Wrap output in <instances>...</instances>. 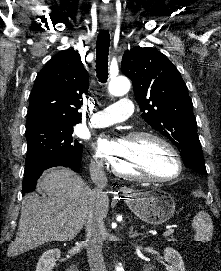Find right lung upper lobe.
<instances>
[{"label": "right lung upper lobe", "mask_w": 221, "mask_h": 271, "mask_svg": "<svg viewBox=\"0 0 221 271\" xmlns=\"http://www.w3.org/2000/svg\"><path fill=\"white\" fill-rule=\"evenodd\" d=\"M89 77L77 51H61L38 73L29 100L26 131L40 126H73Z\"/></svg>", "instance_id": "cb5924a9"}]
</instances>
